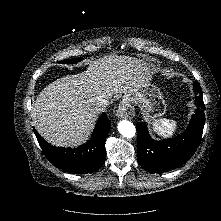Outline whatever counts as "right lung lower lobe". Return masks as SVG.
<instances>
[{"mask_svg":"<svg viewBox=\"0 0 221 221\" xmlns=\"http://www.w3.org/2000/svg\"><path fill=\"white\" fill-rule=\"evenodd\" d=\"M111 127L110 120L103 113L95 126L91 139L78 148H60L48 144L34 130L39 145L48 160L57 168L72 173H92L105 160V140Z\"/></svg>","mask_w":221,"mask_h":221,"instance_id":"1","label":"right lung lower lobe"}]
</instances>
